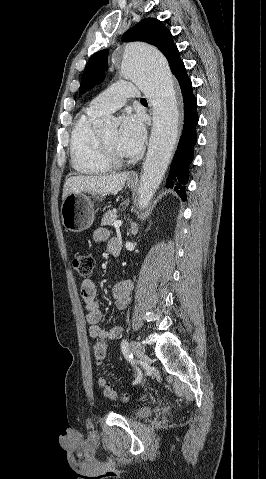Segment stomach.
<instances>
[{
	"mask_svg": "<svg viewBox=\"0 0 266 479\" xmlns=\"http://www.w3.org/2000/svg\"><path fill=\"white\" fill-rule=\"evenodd\" d=\"M130 188L136 187V182L127 181ZM102 200V198L96 197ZM94 202L85 193H71L63 200L61 205V218L63 226L71 232H82L88 229L94 221Z\"/></svg>",
	"mask_w": 266,
	"mask_h": 479,
	"instance_id": "1",
	"label": "stomach"
}]
</instances>
